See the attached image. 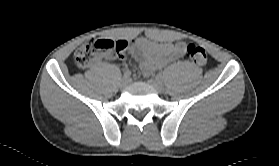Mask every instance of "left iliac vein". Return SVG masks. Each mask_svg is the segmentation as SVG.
<instances>
[{
    "instance_id": "4c4485c4",
    "label": "left iliac vein",
    "mask_w": 279,
    "mask_h": 166,
    "mask_svg": "<svg viewBox=\"0 0 279 166\" xmlns=\"http://www.w3.org/2000/svg\"><path fill=\"white\" fill-rule=\"evenodd\" d=\"M150 83L158 92H164L165 88L161 79L158 78L151 79Z\"/></svg>"
}]
</instances>
